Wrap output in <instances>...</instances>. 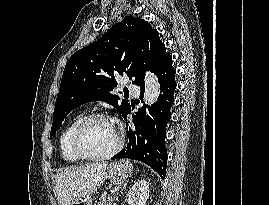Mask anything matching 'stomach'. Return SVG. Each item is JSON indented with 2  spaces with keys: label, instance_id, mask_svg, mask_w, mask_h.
<instances>
[{
  "label": "stomach",
  "instance_id": "obj_1",
  "mask_svg": "<svg viewBox=\"0 0 269 205\" xmlns=\"http://www.w3.org/2000/svg\"><path fill=\"white\" fill-rule=\"evenodd\" d=\"M133 165L127 160H121L109 165L106 171V178L111 183L119 184L125 182L132 174ZM70 205H92L91 200L84 196L75 199Z\"/></svg>",
  "mask_w": 269,
  "mask_h": 205
}]
</instances>
